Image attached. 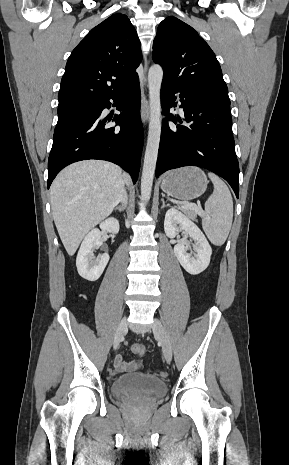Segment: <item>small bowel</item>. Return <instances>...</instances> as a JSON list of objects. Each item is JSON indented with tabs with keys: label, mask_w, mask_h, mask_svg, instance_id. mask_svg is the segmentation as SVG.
Here are the masks:
<instances>
[{
	"label": "small bowel",
	"mask_w": 289,
	"mask_h": 465,
	"mask_svg": "<svg viewBox=\"0 0 289 465\" xmlns=\"http://www.w3.org/2000/svg\"><path fill=\"white\" fill-rule=\"evenodd\" d=\"M114 364L116 371L119 373L132 371L137 366L134 361L126 362L121 355L116 356Z\"/></svg>",
	"instance_id": "c3829d8e"
}]
</instances>
